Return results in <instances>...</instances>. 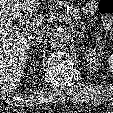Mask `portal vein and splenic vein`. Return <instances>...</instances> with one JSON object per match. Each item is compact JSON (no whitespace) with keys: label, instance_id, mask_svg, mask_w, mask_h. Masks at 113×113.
I'll return each instance as SVG.
<instances>
[{"label":"portal vein and splenic vein","instance_id":"1","mask_svg":"<svg viewBox=\"0 0 113 113\" xmlns=\"http://www.w3.org/2000/svg\"><path fill=\"white\" fill-rule=\"evenodd\" d=\"M30 22V21H29ZM29 25V23L27 22V21H25V20H20L19 22H18V24H17V26H16V29H26L27 27H28V25Z\"/></svg>","mask_w":113,"mask_h":113}]
</instances>
